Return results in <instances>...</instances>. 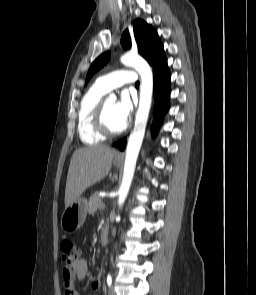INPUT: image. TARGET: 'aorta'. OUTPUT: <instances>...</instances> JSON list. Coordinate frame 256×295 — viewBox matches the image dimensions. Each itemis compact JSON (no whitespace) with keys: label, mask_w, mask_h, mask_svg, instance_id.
<instances>
[{"label":"aorta","mask_w":256,"mask_h":295,"mask_svg":"<svg viewBox=\"0 0 256 295\" xmlns=\"http://www.w3.org/2000/svg\"><path fill=\"white\" fill-rule=\"evenodd\" d=\"M120 61L122 64L136 69L141 77L139 107L136 114L134 129L130 134L127 143L123 179L119 189L118 204L119 206H122L131 186L136 161L145 134L152 102L153 74L149 64L138 54L126 53L121 57ZM108 100L115 101L116 96L110 94Z\"/></svg>","instance_id":"762f6f07"}]
</instances>
